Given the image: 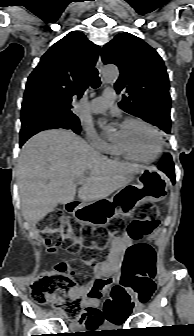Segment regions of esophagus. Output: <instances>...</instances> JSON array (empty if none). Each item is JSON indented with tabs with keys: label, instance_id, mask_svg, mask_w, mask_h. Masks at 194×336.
<instances>
[{
	"label": "esophagus",
	"instance_id": "1",
	"mask_svg": "<svg viewBox=\"0 0 194 336\" xmlns=\"http://www.w3.org/2000/svg\"><path fill=\"white\" fill-rule=\"evenodd\" d=\"M102 66H103L102 59H101V56L99 55L97 63H96V67H97V69L99 71H101L102 70Z\"/></svg>",
	"mask_w": 194,
	"mask_h": 336
}]
</instances>
